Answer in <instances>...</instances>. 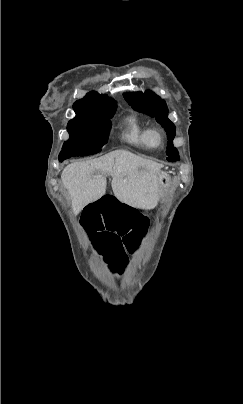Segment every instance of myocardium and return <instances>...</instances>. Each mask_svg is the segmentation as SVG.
<instances>
[{"instance_id":"1","label":"myocardium","mask_w":243,"mask_h":404,"mask_svg":"<svg viewBox=\"0 0 243 404\" xmlns=\"http://www.w3.org/2000/svg\"><path fill=\"white\" fill-rule=\"evenodd\" d=\"M149 135H150L151 141L154 144L160 145L162 143L163 135H162L161 130L158 129L157 127H150L149 128Z\"/></svg>"}]
</instances>
